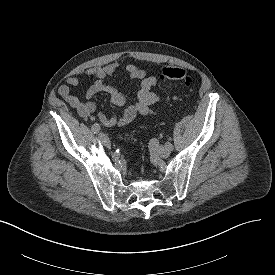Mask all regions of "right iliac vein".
<instances>
[{"mask_svg": "<svg viewBox=\"0 0 275 275\" xmlns=\"http://www.w3.org/2000/svg\"><path fill=\"white\" fill-rule=\"evenodd\" d=\"M99 139H100V141L102 142V144L104 146H106V147H110L111 146L110 140H109V138L107 137L106 134L100 133L99 134Z\"/></svg>", "mask_w": 275, "mask_h": 275, "instance_id": "63e3f726", "label": "right iliac vein"}]
</instances>
